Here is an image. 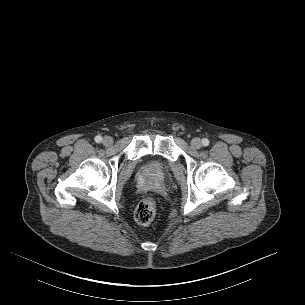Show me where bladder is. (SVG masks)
<instances>
[{
  "instance_id": "31cf9c89",
  "label": "bladder",
  "mask_w": 305,
  "mask_h": 305,
  "mask_svg": "<svg viewBox=\"0 0 305 305\" xmlns=\"http://www.w3.org/2000/svg\"><path fill=\"white\" fill-rule=\"evenodd\" d=\"M163 171H164V168H156V172H158V173H163Z\"/></svg>"
}]
</instances>
